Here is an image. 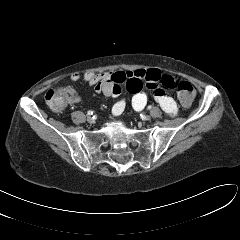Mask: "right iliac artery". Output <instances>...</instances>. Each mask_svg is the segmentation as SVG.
<instances>
[{
	"instance_id": "82829eb1",
	"label": "right iliac artery",
	"mask_w": 240,
	"mask_h": 240,
	"mask_svg": "<svg viewBox=\"0 0 240 240\" xmlns=\"http://www.w3.org/2000/svg\"><path fill=\"white\" fill-rule=\"evenodd\" d=\"M87 114H88V115H92L93 112H92V111H88Z\"/></svg>"
}]
</instances>
